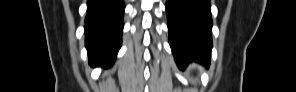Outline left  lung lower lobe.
Returning a JSON list of instances; mask_svg holds the SVG:
<instances>
[{"label":"left lung lower lobe","instance_id":"left-lung-lower-lobe-1","mask_svg":"<svg viewBox=\"0 0 296 92\" xmlns=\"http://www.w3.org/2000/svg\"><path fill=\"white\" fill-rule=\"evenodd\" d=\"M210 0H167L169 42L180 68L197 61L210 64L212 19Z\"/></svg>","mask_w":296,"mask_h":92}]
</instances>
